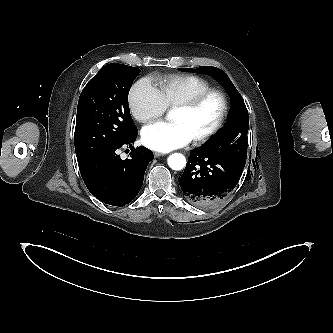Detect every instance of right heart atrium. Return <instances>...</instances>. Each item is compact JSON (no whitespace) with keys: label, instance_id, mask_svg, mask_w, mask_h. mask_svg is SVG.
<instances>
[{"label":"right heart atrium","instance_id":"1","mask_svg":"<svg viewBox=\"0 0 333 333\" xmlns=\"http://www.w3.org/2000/svg\"><path fill=\"white\" fill-rule=\"evenodd\" d=\"M128 105L132 116L140 123L161 117L167 109L158 89L147 78L140 79L133 85Z\"/></svg>","mask_w":333,"mask_h":333}]
</instances>
